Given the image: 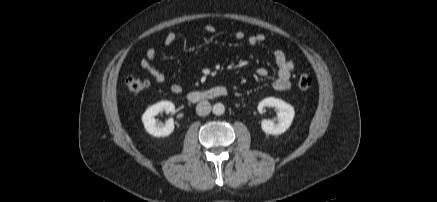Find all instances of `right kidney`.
Returning <instances> with one entry per match:
<instances>
[{
	"label": "right kidney",
	"mask_w": 437,
	"mask_h": 202,
	"mask_svg": "<svg viewBox=\"0 0 437 202\" xmlns=\"http://www.w3.org/2000/svg\"><path fill=\"white\" fill-rule=\"evenodd\" d=\"M174 113L175 106L170 101H161L150 106L142 116V122L146 131L155 137H165L170 135L174 130L173 119L167 120L165 125L157 123L155 116L160 112Z\"/></svg>",
	"instance_id": "1"
}]
</instances>
